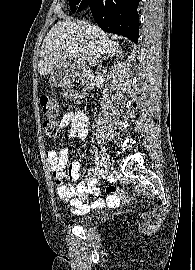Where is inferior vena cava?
Listing matches in <instances>:
<instances>
[{"mask_svg":"<svg viewBox=\"0 0 195 270\" xmlns=\"http://www.w3.org/2000/svg\"><path fill=\"white\" fill-rule=\"evenodd\" d=\"M89 62H90V64L92 66H98V65H100L99 64V54H98L97 50H95L93 48H92V55H91V57L89 59Z\"/></svg>","mask_w":195,"mask_h":270,"instance_id":"602c4592","label":"inferior vena cava"}]
</instances>
